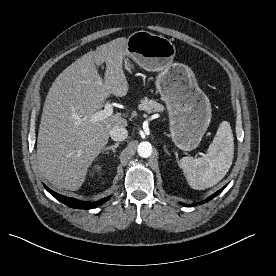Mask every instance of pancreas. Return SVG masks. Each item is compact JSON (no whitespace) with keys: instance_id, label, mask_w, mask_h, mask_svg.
I'll list each match as a JSON object with an SVG mask.
<instances>
[{"instance_id":"cf45deb5","label":"pancreas","mask_w":276,"mask_h":276,"mask_svg":"<svg viewBox=\"0 0 276 276\" xmlns=\"http://www.w3.org/2000/svg\"><path fill=\"white\" fill-rule=\"evenodd\" d=\"M138 108L139 110L145 111L147 113L164 111V106L162 104H160L156 100L147 99V98H144L141 100Z\"/></svg>"}]
</instances>
